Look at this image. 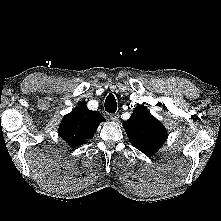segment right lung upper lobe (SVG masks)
Instances as JSON below:
<instances>
[{
  "label": "right lung upper lobe",
  "instance_id": "1",
  "mask_svg": "<svg viewBox=\"0 0 221 221\" xmlns=\"http://www.w3.org/2000/svg\"><path fill=\"white\" fill-rule=\"evenodd\" d=\"M105 118L97 111H91L81 103L71 113L64 116L59 135L70 147H77L86 140L93 138L98 125Z\"/></svg>",
  "mask_w": 221,
  "mask_h": 221
}]
</instances>
